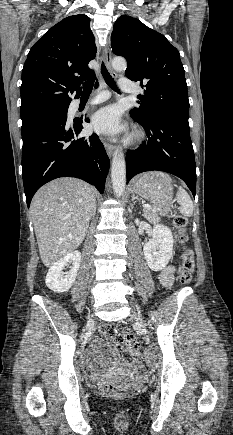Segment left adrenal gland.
I'll list each match as a JSON object with an SVG mask.
<instances>
[{"label": "left adrenal gland", "instance_id": "obj_1", "mask_svg": "<svg viewBox=\"0 0 233 435\" xmlns=\"http://www.w3.org/2000/svg\"><path fill=\"white\" fill-rule=\"evenodd\" d=\"M135 200L139 201V199L135 196V194H132V201L134 202Z\"/></svg>", "mask_w": 233, "mask_h": 435}]
</instances>
